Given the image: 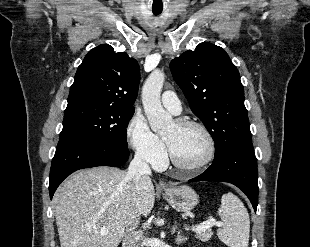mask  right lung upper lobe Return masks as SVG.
I'll list each match as a JSON object with an SVG mask.
<instances>
[{"label":"right lung upper lobe","mask_w":310,"mask_h":247,"mask_svg":"<svg viewBox=\"0 0 310 247\" xmlns=\"http://www.w3.org/2000/svg\"><path fill=\"white\" fill-rule=\"evenodd\" d=\"M140 69L125 52L99 45L88 52L78 67L66 109L112 108L132 111L137 97Z\"/></svg>","instance_id":"right-lung-upper-lobe-1"}]
</instances>
